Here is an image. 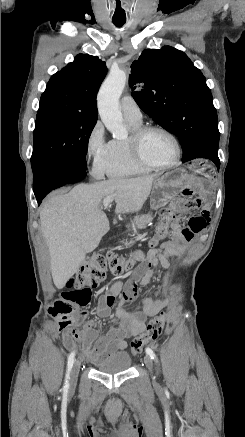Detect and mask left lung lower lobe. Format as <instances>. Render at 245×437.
<instances>
[{"mask_svg":"<svg viewBox=\"0 0 245 437\" xmlns=\"http://www.w3.org/2000/svg\"><path fill=\"white\" fill-rule=\"evenodd\" d=\"M212 161L217 165V167L219 168L220 166V162H219V158L218 155H212Z\"/></svg>","mask_w":245,"mask_h":437,"instance_id":"obj_1","label":"left lung lower lobe"}]
</instances>
